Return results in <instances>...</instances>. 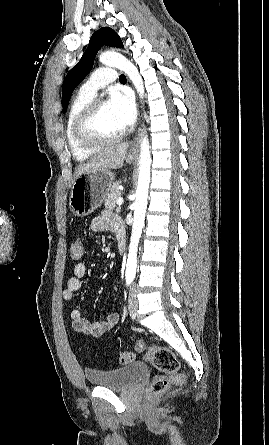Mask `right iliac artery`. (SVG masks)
I'll return each instance as SVG.
<instances>
[{
  "instance_id": "obj_1",
  "label": "right iliac artery",
  "mask_w": 269,
  "mask_h": 445,
  "mask_svg": "<svg viewBox=\"0 0 269 445\" xmlns=\"http://www.w3.org/2000/svg\"><path fill=\"white\" fill-rule=\"evenodd\" d=\"M131 282H132V278L127 277L126 278V285L129 286L131 284Z\"/></svg>"
}]
</instances>
